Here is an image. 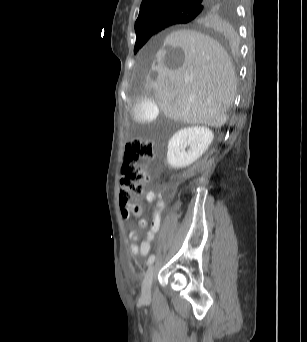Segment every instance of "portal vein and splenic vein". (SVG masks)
Masks as SVG:
<instances>
[{
	"label": "portal vein and splenic vein",
	"instance_id": "portal-vein-and-splenic-vein-1",
	"mask_svg": "<svg viewBox=\"0 0 307 342\" xmlns=\"http://www.w3.org/2000/svg\"><path fill=\"white\" fill-rule=\"evenodd\" d=\"M187 78H190L189 74H188Z\"/></svg>",
	"mask_w": 307,
	"mask_h": 342
}]
</instances>
